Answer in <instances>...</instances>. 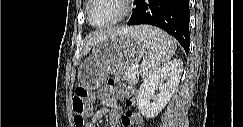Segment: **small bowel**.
I'll use <instances>...</instances> for the list:
<instances>
[{
    "mask_svg": "<svg viewBox=\"0 0 243 127\" xmlns=\"http://www.w3.org/2000/svg\"><path fill=\"white\" fill-rule=\"evenodd\" d=\"M122 108L118 101L109 96L101 98V108L93 115L92 120L85 124L86 127H95L97 122L107 116L109 127H119Z\"/></svg>",
    "mask_w": 243,
    "mask_h": 127,
    "instance_id": "1",
    "label": "small bowel"
}]
</instances>
